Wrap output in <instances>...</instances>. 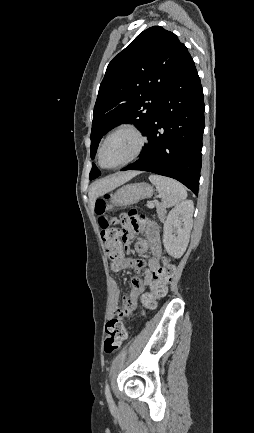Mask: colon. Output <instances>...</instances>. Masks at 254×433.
<instances>
[{"label": "colon", "mask_w": 254, "mask_h": 433, "mask_svg": "<svg viewBox=\"0 0 254 433\" xmlns=\"http://www.w3.org/2000/svg\"><path fill=\"white\" fill-rule=\"evenodd\" d=\"M108 196L97 199L95 211L98 214L99 224L102 229V240L106 254L111 263L119 261L126 249L128 232L124 226L123 218L132 226H141L146 222V215L137 209L129 210L125 215L120 216L118 220L109 219L105 216L108 208ZM119 224L120 227H117ZM176 267L170 259H164L163 264L155 272V284L149 294L143 296V304L147 309H152L156 305V300L165 296L166 287L174 278ZM129 325L113 317L106 322L104 351L111 354L117 351L123 342L127 339Z\"/></svg>", "instance_id": "obj_1"}]
</instances>
